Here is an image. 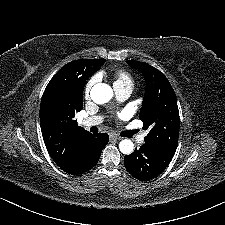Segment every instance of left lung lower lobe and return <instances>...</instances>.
<instances>
[{
  "label": "left lung lower lobe",
  "instance_id": "0a47b994",
  "mask_svg": "<svg viewBox=\"0 0 225 225\" xmlns=\"http://www.w3.org/2000/svg\"><path fill=\"white\" fill-rule=\"evenodd\" d=\"M174 150L157 145L144 144L131 155L124 157L127 171L140 181H148L159 176L169 165Z\"/></svg>",
  "mask_w": 225,
  "mask_h": 225
}]
</instances>
